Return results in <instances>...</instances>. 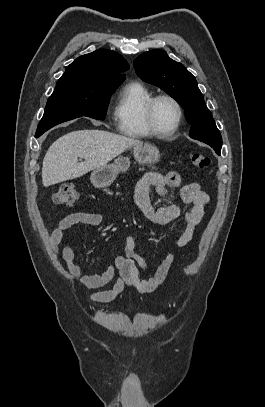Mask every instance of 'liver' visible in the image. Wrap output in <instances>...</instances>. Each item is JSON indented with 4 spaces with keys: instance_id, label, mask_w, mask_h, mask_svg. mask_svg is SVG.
<instances>
[{
    "instance_id": "obj_1",
    "label": "liver",
    "mask_w": 265,
    "mask_h": 407,
    "mask_svg": "<svg viewBox=\"0 0 265 407\" xmlns=\"http://www.w3.org/2000/svg\"><path fill=\"white\" fill-rule=\"evenodd\" d=\"M139 140L102 130H78L63 135L49 147L43 159L45 187L75 179L106 165ZM78 158L84 161L78 163Z\"/></svg>"
}]
</instances>
